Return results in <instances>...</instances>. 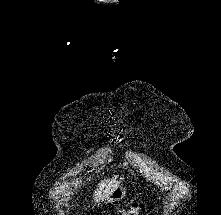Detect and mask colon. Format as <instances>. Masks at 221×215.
I'll list each match as a JSON object with an SVG mask.
<instances>
[{"label":"colon","mask_w":221,"mask_h":215,"mask_svg":"<svg viewBox=\"0 0 221 215\" xmlns=\"http://www.w3.org/2000/svg\"><path fill=\"white\" fill-rule=\"evenodd\" d=\"M138 210V206L134 204L129 209L123 210L119 215H136Z\"/></svg>","instance_id":"colon-1"}]
</instances>
